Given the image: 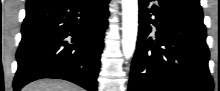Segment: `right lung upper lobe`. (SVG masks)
Segmentation results:
<instances>
[{
    "label": "right lung upper lobe",
    "instance_id": "right-lung-upper-lobe-1",
    "mask_svg": "<svg viewBox=\"0 0 220 91\" xmlns=\"http://www.w3.org/2000/svg\"><path fill=\"white\" fill-rule=\"evenodd\" d=\"M31 3H39V2H42V1H45V0H29ZM27 6V5H26Z\"/></svg>",
    "mask_w": 220,
    "mask_h": 91
}]
</instances>
